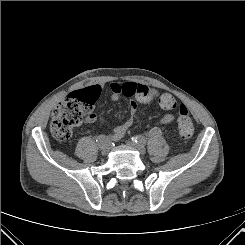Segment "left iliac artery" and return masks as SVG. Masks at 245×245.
I'll return each mask as SVG.
<instances>
[{
  "instance_id": "left-iliac-artery-1",
  "label": "left iliac artery",
  "mask_w": 245,
  "mask_h": 245,
  "mask_svg": "<svg viewBox=\"0 0 245 245\" xmlns=\"http://www.w3.org/2000/svg\"><path fill=\"white\" fill-rule=\"evenodd\" d=\"M150 133L152 136H158L161 132L158 129H152ZM132 140L140 144H143V142L146 141L145 138L142 136H134L132 137Z\"/></svg>"
}]
</instances>
